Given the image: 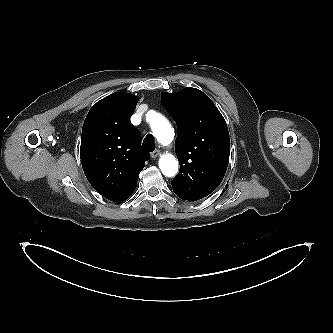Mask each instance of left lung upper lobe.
<instances>
[{
  "instance_id": "left-lung-upper-lobe-1",
  "label": "left lung upper lobe",
  "mask_w": 333,
  "mask_h": 333,
  "mask_svg": "<svg viewBox=\"0 0 333 333\" xmlns=\"http://www.w3.org/2000/svg\"><path fill=\"white\" fill-rule=\"evenodd\" d=\"M161 103L178 127L175 151L180 171L171 182L173 191L181 199L200 200L226 173L230 155L226 122L212 100L195 88L163 92Z\"/></svg>"
}]
</instances>
